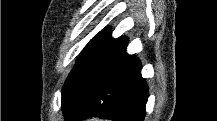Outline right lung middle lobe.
Here are the masks:
<instances>
[{
    "mask_svg": "<svg viewBox=\"0 0 217 121\" xmlns=\"http://www.w3.org/2000/svg\"><path fill=\"white\" fill-rule=\"evenodd\" d=\"M114 41L110 34V28H104L100 31L84 48L80 59L70 72L62 93L69 89L77 80H79L87 70L96 62L101 54Z\"/></svg>",
    "mask_w": 217,
    "mask_h": 121,
    "instance_id": "right-lung-middle-lobe-1",
    "label": "right lung middle lobe"
}]
</instances>
